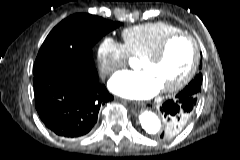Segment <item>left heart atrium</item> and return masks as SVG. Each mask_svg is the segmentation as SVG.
<instances>
[{
    "label": "left heart atrium",
    "instance_id": "left-heart-atrium-1",
    "mask_svg": "<svg viewBox=\"0 0 240 160\" xmlns=\"http://www.w3.org/2000/svg\"><path fill=\"white\" fill-rule=\"evenodd\" d=\"M110 90L131 99H148L156 95L160 86L148 71H120L109 81Z\"/></svg>",
    "mask_w": 240,
    "mask_h": 160
}]
</instances>
